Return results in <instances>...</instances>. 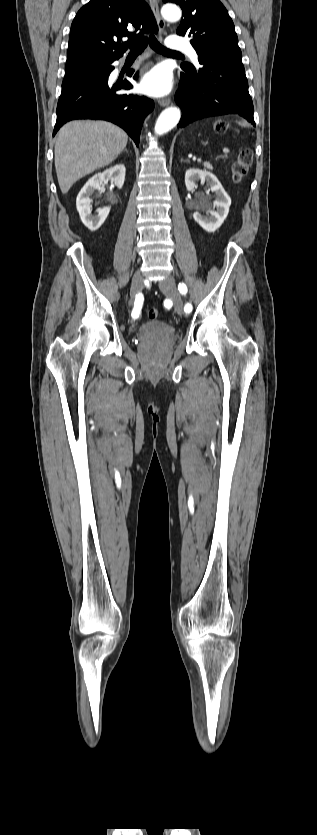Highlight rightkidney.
Listing matches in <instances>:
<instances>
[{"label": "right kidney", "mask_w": 317, "mask_h": 835, "mask_svg": "<svg viewBox=\"0 0 317 835\" xmlns=\"http://www.w3.org/2000/svg\"><path fill=\"white\" fill-rule=\"evenodd\" d=\"M125 172V166L123 164H118L112 168L106 169L102 173L92 176L80 190L76 199V207L81 221L89 230L96 231L104 223L110 213V207H104L98 211L97 215L92 214V194L95 190H100L101 186L109 180L112 184L121 189L125 180Z\"/></svg>", "instance_id": "right-kidney-1"}]
</instances>
